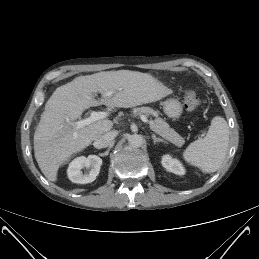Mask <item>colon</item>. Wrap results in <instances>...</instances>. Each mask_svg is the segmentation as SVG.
<instances>
[{
  "mask_svg": "<svg viewBox=\"0 0 259 259\" xmlns=\"http://www.w3.org/2000/svg\"><path fill=\"white\" fill-rule=\"evenodd\" d=\"M184 106L187 111H195L200 106V99L194 90H187L184 95Z\"/></svg>",
  "mask_w": 259,
  "mask_h": 259,
  "instance_id": "5ec220e1",
  "label": "colon"
}]
</instances>
